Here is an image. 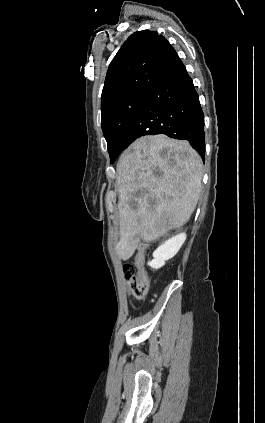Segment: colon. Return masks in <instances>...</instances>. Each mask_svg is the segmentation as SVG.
I'll return each instance as SVG.
<instances>
[{
    "instance_id": "colon-1",
    "label": "colon",
    "mask_w": 265,
    "mask_h": 423,
    "mask_svg": "<svg viewBox=\"0 0 265 423\" xmlns=\"http://www.w3.org/2000/svg\"><path fill=\"white\" fill-rule=\"evenodd\" d=\"M128 281L129 293L136 298H143L148 290V277L143 271L140 261L128 262L123 266Z\"/></svg>"
}]
</instances>
